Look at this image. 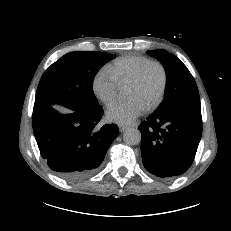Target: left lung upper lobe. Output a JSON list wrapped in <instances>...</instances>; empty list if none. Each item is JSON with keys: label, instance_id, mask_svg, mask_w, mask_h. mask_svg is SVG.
Returning <instances> with one entry per match:
<instances>
[{"label": "left lung upper lobe", "instance_id": "left-lung-upper-lobe-1", "mask_svg": "<svg viewBox=\"0 0 231 231\" xmlns=\"http://www.w3.org/2000/svg\"><path fill=\"white\" fill-rule=\"evenodd\" d=\"M147 54L160 60L167 76L165 99L155 114H167L186 106H200L196 82L175 55L166 50H149Z\"/></svg>", "mask_w": 231, "mask_h": 231}]
</instances>
